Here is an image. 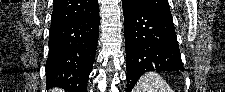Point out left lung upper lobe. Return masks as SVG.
Instances as JSON below:
<instances>
[{
  "mask_svg": "<svg viewBox=\"0 0 225 92\" xmlns=\"http://www.w3.org/2000/svg\"><path fill=\"white\" fill-rule=\"evenodd\" d=\"M150 9L171 14L168 0H132Z\"/></svg>",
  "mask_w": 225,
  "mask_h": 92,
  "instance_id": "obj_1",
  "label": "left lung upper lobe"
}]
</instances>
